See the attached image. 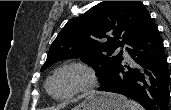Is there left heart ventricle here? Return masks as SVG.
<instances>
[{
    "mask_svg": "<svg viewBox=\"0 0 171 110\" xmlns=\"http://www.w3.org/2000/svg\"><path fill=\"white\" fill-rule=\"evenodd\" d=\"M83 81V74L68 70L58 74L50 84V91L55 96H64Z\"/></svg>",
    "mask_w": 171,
    "mask_h": 110,
    "instance_id": "obj_1",
    "label": "left heart ventricle"
}]
</instances>
